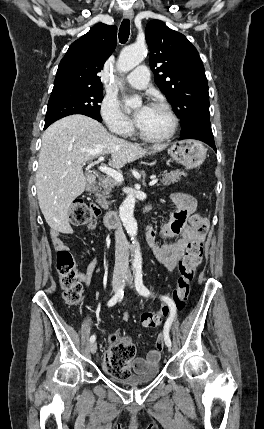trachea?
I'll use <instances>...</instances> for the list:
<instances>
[{"label":"trachea","instance_id":"trachea-1","mask_svg":"<svg viewBox=\"0 0 264 429\" xmlns=\"http://www.w3.org/2000/svg\"><path fill=\"white\" fill-rule=\"evenodd\" d=\"M130 35V21L129 19H124L120 25L119 29V41L120 43H126Z\"/></svg>","mask_w":264,"mask_h":429}]
</instances>
